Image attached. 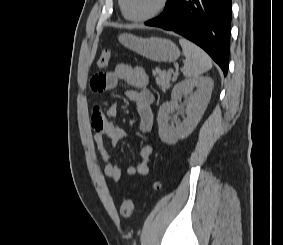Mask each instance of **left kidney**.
Here are the masks:
<instances>
[{"instance_id":"1","label":"left kidney","mask_w":283,"mask_h":245,"mask_svg":"<svg viewBox=\"0 0 283 245\" xmlns=\"http://www.w3.org/2000/svg\"><path fill=\"white\" fill-rule=\"evenodd\" d=\"M213 86L214 81L210 77L184 80L174 86L171 101L164 103L158 112L157 121L162 142L173 145L191 134L207 108ZM182 95L188 96L186 118L182 122L176 119V127L170 126L169 121L173 120L170 114L177 109V101Z\"/></svg>"}]
</instances>
